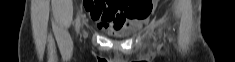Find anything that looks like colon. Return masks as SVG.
Returning a JSON list of instances; mask_svg holds the SVG:
<instances>
[{
	"label": "colon",
	"instance_id": "1",
	"mask_svg": "<svg viewBox=\"0 0 235 62\" xmlns=\"http://www.w3.org/2000/svg\"><path fill=\"white\" fill-rule=\"evenodd\" d=\"M127 4L130 9V14L139 18V19H144L146 18L152 8V3L151 0H130L127 1Z\"/></svg>",
	"mask_w": 235,
	"mask_h": 62
}]
</instances>
